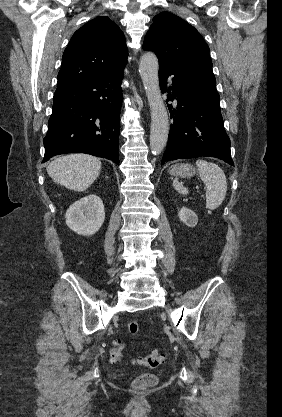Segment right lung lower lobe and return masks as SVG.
I'll return each mask as SVG.
<instances>
[{
    "label": "right lung lower lobe",
    "instance_id": "obj_1",
    "mask_svg": "<svg viewBox=\"0 0 282 417\" xmlns=\"http://www.w3.org/2000/svg\"><path fill=\"white\" fill-rule=\"evenodd\" d=\"M123 70L56 89L43 162L54 155L87 153L119 164Z\"/></svg>",
    "mask_w": 282,
    "mask_h": 417
}]
</instances>
